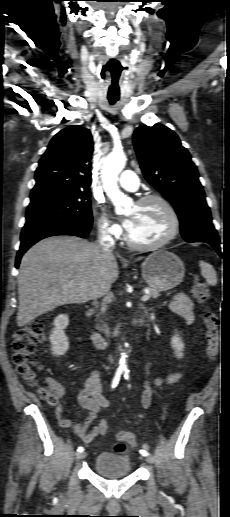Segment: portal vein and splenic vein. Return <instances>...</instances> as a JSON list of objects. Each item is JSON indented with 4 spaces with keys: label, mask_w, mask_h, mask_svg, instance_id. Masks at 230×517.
<instances>
[{
    "label": "portal vein and splenic vein",
    "mask_w": 230,
    "mask_h": 517,
    "mask_svg": "<svg viewBox=\"0 0 230 517\" xmlns=\"http://www.w3.org/2000/svg\"><path fill=\"white\" fill-rule=\"evenodd\" d=\"M149 298H150L149 293H146L145 295H143V297L141 298V300H142L143 302H145V301H147Z\"/></svg>",
    "instance_id": "1"
}]
</instances>
